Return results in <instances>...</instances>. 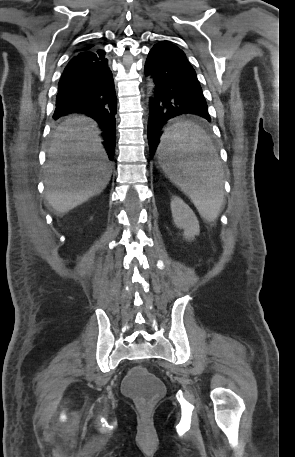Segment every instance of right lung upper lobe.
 Masks as SVG:
<instances>
[{
    "mask_svg": "<svg viewBox=\"0 0 295 457\" xmlns=\"http://www.w3.org/2000/svg\"><path fill=\"white\" fill-rule=\"evenodd\" d=\"M93 46L94 45L89 44V45L85 46L84 48H82V50H88V49L92 48Z\"/></svg>",
    "mask_w": 295,
    "mask_h": 457,
    "instance_id": "1",
    "label": "right lung upper lobe"
}]
</instances>
